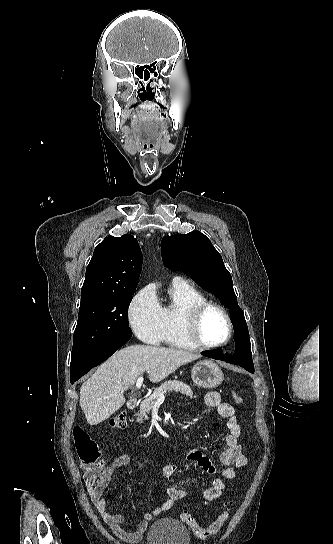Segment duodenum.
I'll return each instance as SVG.
<instances>
[{"instance_id": "duodenum-1", "label": "duodenum", "mask_w": 333, "mask_h": 544, "mask_svg": "<svg viewBox=\"0 0 333 544\" xmlns=\"http://www.w3.org/2000/svg\"><path fill=\"white\" fill-rule=\"evenodd\" d=\"M128 408L129 409H135L138 405V399L137 398H131L129 401H128Z\"/></svg>"}]
</instances>
